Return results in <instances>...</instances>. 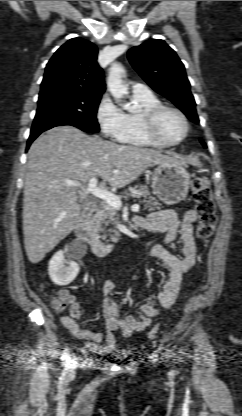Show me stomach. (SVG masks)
<instances>
[{
  "instance_id": "obj_1",
  "label": "stomach",
  "mask_w": 242,
  "mask_h": 416,
  "mask_svg": "<svg viewBox=\"0 0 242 416\" xmlns=\"http://www.w3.org/2000/svg\"><path fill=\"white\" fill-rule=\"evenodd\" d=\"M190 187V175L178 163H161L152 175L153 193L165 204L173 205L184 200Z\"/></svg>"
}]
</instances>
